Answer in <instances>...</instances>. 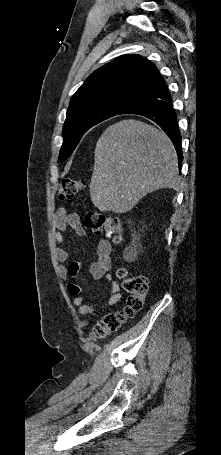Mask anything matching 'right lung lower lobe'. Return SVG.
Returning <instances> with one entry per match:
<instances>
[{"instance_id":"98d812e1","label":"right lung lower lobe","mask_w":221,"mask_h":455,"mask_svg":"<svg viewBox=\"0 0 221 455\" xmlns=\"http://www.w3.org/2000/svg\"><path fill=\"white\" fill-rule=\"evenodd\" d=\"M121 114H138L156 122L170 137L177 151L179 166L181 165L183 160L181 134L172 99L162 77L146 96L125 108Z\"/></svg>"}]
</instances>
